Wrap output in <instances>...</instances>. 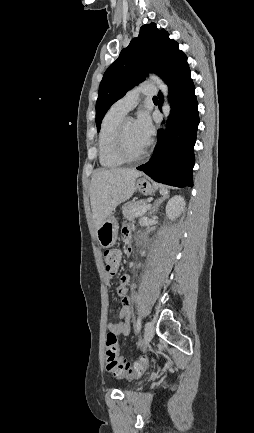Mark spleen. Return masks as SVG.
<instances>
[{
	"label": "spleen",
	"instance_id": "obj_1",
	"mask_svg": "<svg viewBox=\"0 0 254 433\" xmlns=\"http://www.w3.org/2000/svg\"><path fill=\"white\" fill-rule=\"evenodd\" d=\"M160 193H161L162 195H167V194H168V190L165 189V188H162V189L160 190Z\"/></svg>",
	"mask_w": 254,
	"mask_h": 433
}]
</instances>
